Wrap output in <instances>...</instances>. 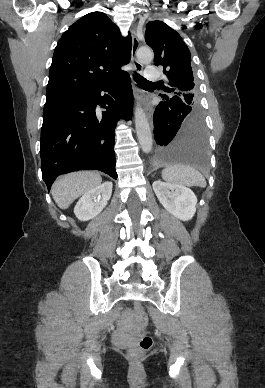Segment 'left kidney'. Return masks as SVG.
<instances>
[{"mask_svg": "<svg viewBox=\"0 0 265 388\" xmlns=\"http://www.w3.org/2000/svg\"><path fill=\"white\" fill-rule=\"evenodd\" d=\"M152 188L163 208L175 218L187 222L196 212L197 198L189 188L177 184H165L161 180L153 182Z\"/></svg>", "mask_w": 265, "mask_h": 388, "instance_id": "obj_1", "label": "left kidney"}]
</instances>
